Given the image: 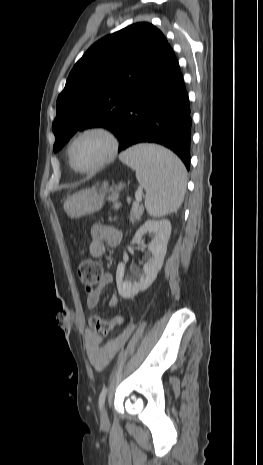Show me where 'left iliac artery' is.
<instances>
[{
  "label": "left iliac artery",
  "instance_id": "44dca946",
  "mask_svg": "<svg viewBox=\"0 0 263 465\" xmlns=\"http://www.w3.org/2000/svg\"><path fill=\"white\" fill-rule=\"evenodd\" d=\"M107 387H104L100 393V396H99V408L101 409L104 405V402H105V398H106V394H107Z\"/></svg>",
  "mask_w": 263,
  "mask_h": 465
}]
</instances>
